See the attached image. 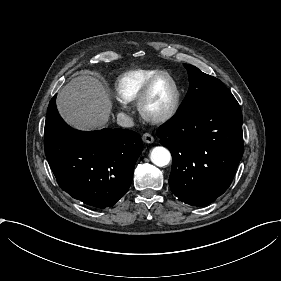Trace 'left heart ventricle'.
I'll return each instance as SVG.
<instances>
[{
  "mask_svg": "<svg viewBox=\"0 0 281 281\" xmlns=\"http://www.w3.org/2000/svg\"><path fill=\"white\" fill-rule=\"evenodd\" d=\"M173 98V87L168 79L159 81L147 103V110L152 114L164 113L170 106Z\"/></svg>",
  "mask_w": 281,
  "mask_h": 281,
  "instance_id": "b2bd125f",
  "label": "left heart ventricle"
}]
</instances>
